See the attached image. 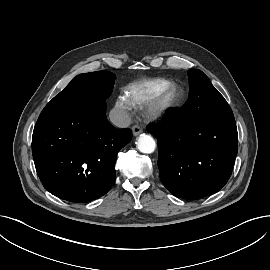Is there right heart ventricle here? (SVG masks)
Masks as SVG:
<instances>
[{
	"instance_id": "obj_1",
	"label": "right heart ventricle",
	"mask_w": 270,
	"mask_h": 270,
	"mask_svg": "<svg viewBox=\"0 0 270 270\" xmlns=\"http://www.w3.org/2000/svg\"><path fill=\"white\" fill-rule=\"evenodd\" d=\"M169 84L171 82L163 78L134 81L125 88V97L132 106L142 108L156 98Z\"/></svg>"
}]
</instances>
